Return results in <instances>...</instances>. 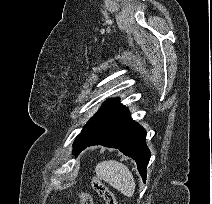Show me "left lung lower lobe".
Here are the masks:
<instances>
[{"label":"left lung lower lobe","mask_w":212,"mask_h":204,"mask_svg":"<svg viewBox=\"0 0 212 204\" xmlns=\"http://www.w3.org/2000/svg\"><path fill=\"white\" fill-rule=\"evenodd\" d=\"M145 139L146 131L135 123L127 109L119 104L77 137L73 154L78 155L92 145L117 148L136 161L138 171L145 181L146 167L151 155Z\"/></svg>","instance_id":"left-lung-lower-lobe-1"}]
</instances>
